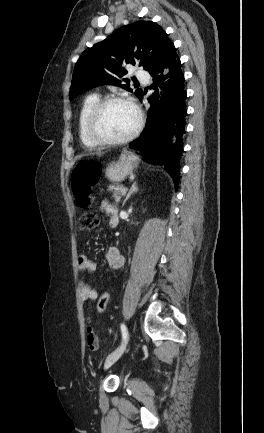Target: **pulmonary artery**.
I'll list each match as a JSON object with an SVG mask.
<instances>
[{
  "label": "pulmonary artery",
  "instance_id": "1",
  "mask_svg": "<svg viewBox=\"0 0 264 433\" xmlns=\"http://www.w3.org/2000/svg\"><path fill=\"white\" fill-rule=\"evenodd\" d=\"M136 77L139 80H145V79H147L148 75L144 70H137L136 71Z\"/></svg>",
  "mask_w": 264,
  "mask_h": 433
}]
</instances>
